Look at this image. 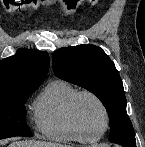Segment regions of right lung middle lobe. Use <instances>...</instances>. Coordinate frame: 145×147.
I'll return each mask as SVG.
<instances>
[{
	"label": "right lung middle lobe",
	"mask_w": 145,
	"mask_h": 147,
	"mask_svg": "<svg viewBox=\"0 0 145 147\" xmlns=\"http://www.w3.org/2000/svg\"><path fill=\"white\" fill-rule=\"evenodd\" d=\"M38 87L26 86L0 92V139L32 136L25 120L24 104Z\"/></svg>",
	"instance_id": "1"
}]
</instances>
